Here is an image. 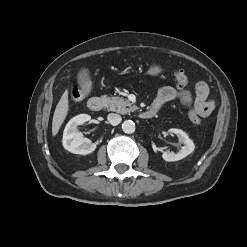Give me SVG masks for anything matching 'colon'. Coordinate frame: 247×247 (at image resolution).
Listing matches in <instances>:
<instances>
[{"label":"colon","mask_w":247,"mask_h":247,"mask_svg":"<svg viewBox=\"0 0 247 247\" xmlns=\"http://www.w3.org/2000/svg\"><path fill=\"white\" fill-rule=\"evenodd\" d=\"M175 80L177 87L184 89L188 85V78L183 71H178L175 74ZM91 83L89 81H84L78 86H75L72 90L71 96L73 100L79 101L83 99L90 91ZM189 118L194 125L201 124V115L198 111L191 109L189 111Z\"/></svg>","instance_id":"5ec220e1"}]
</instances>
